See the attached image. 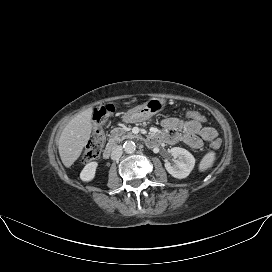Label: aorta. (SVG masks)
I'll return each instance as SVG.
<instances>
[{"instance_id": "aorta-1", "label": "aorta", "mask_w": 272, "mask_h": 272, "mask_svg": "<svg viewBox=\"0 0 272 272\" xmlns=\"http://www.w3.org/2000/svg\"><path fill=\"white\" fill-rule=\"evenodd\" d=\"M123 148L126 153H133L136 150V145L133 141H126Z\"/></svg>"}]
</instances>
